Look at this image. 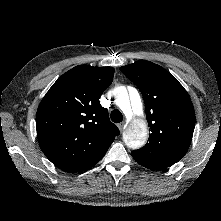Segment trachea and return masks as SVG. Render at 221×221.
<instances>
[{
    "label": "trachea",
    "instance_id": "3493384b",
    "mask_svg": "<svg viewBox=\"0 0 221 221\" xmlns=\"http://www.w3.org/2000/svg\"><path fill=\"white\" fill-rule=\"evenodd\" d=\"M111 120H112L114 123H120V122H122V120H123V115H122V113H121L118 109H114V110L111 112Z\"/></svg>",
    "mask_w": 221,
    "mask_h": 221
}]
</instances>
